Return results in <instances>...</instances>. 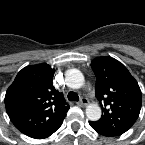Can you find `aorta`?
<instances>
[{"label": "aorta", "mask_w": 145, "mask_h": 145, "mask_svg": "<svg viewBox=\"0 0 145 145\" xmlns=\"http://www.w3.org/2000/svg\"><path fill=\"white\" fill-rule=\"evenodd\" d=\"M67 86L73 89H80L84 85V76L78 69H69L65 74ZM101 108L96 103L86 107V116L91 121H97L101 117Z\"/></svg>", "instance_id": "1"}]
</instances>
